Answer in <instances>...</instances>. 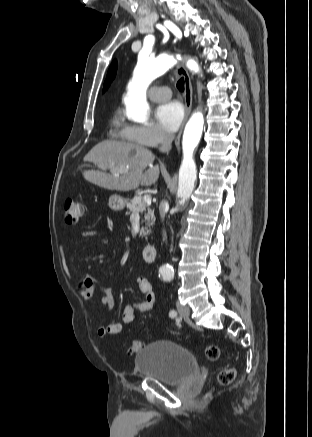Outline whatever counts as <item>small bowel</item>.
<instances>
[{
	"label": "small bowel",
	"mask_w": 312,
	"mask_h": 437,
	"mask_svg": "<svg viewBox=\"0 0 312 437\" xmlns=\"http://www.w3.org/2000/svg\"><path fill=\"white\" fill-rule=\"evenodd\" d=\"M97 234L93 231L83 232L81 236L92 237ZM138 289L143 294L144 299L141 301H135L128 304L123 311L122 320L126 324L133 323L136 320V311L148 312L150 311L156 302V295L153 290L152 284L145 276H139L136 280ZM96 287L104 290L105 295L101 298V305L104 306L107 312H110L115 307V299L110 289L101 285L98 280L91 274H85L78 285L79 295L86 301H89L93 297V293ZM122 331V325L117 322H111L107 325L99 323L97 326V335L99 338H104L107 335L119 334Z\"/></svg>",
	"instance_id": "small-bowel-1"
}]
</instances>
